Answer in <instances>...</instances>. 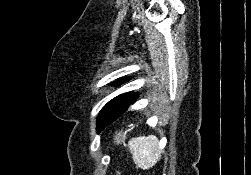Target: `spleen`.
I'll return each mask as SVG.
<instances>
[{
	"label": "spleen",
	"mask_w": 251,
	"mask_h": 175,
	"mask_svg": "<svg viewBox=\"0 0 251 175\" xmlns=\"http://www.w3.org/2000/svg\"><path fill=\"white\" fill-rule=\"evenodd\" d=\"M132 159L141 169H149L159 161L161 149L159 139L156 135H140V137H131L127 143Z\"/></svg>",
	"instance_id": "obj_1"
}]
</instances>
